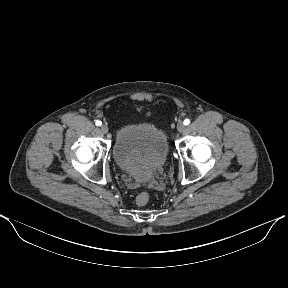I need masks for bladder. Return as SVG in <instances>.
Wrapping results in <instances>:
<instances>
[{
  "label": "bladder",
  "mask_w": 288,
  "mask_h": 288,
  "mask_svg": "<svg viewBox=\"0 0 288 288\" xmlns=\"http://www.w3.org/2000/svg\"><path fill=\"white\" fill-rule=\"evenodd\" d=\"M168 151L164 131L153 123H126L116 132L115 162L137 181L146 182L154 177L165 164Z\"/></svg>",
  "instance_id": "obj_1"
}]
</instances>
